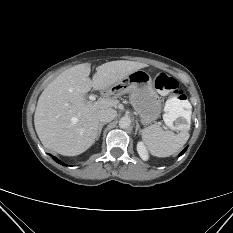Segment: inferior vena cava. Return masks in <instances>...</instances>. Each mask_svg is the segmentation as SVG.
<instances>
[{"label": "inferior vena cava", "mask_w": 233, "mask_h": 233, "mask_svg": "<svg viewBox=\"0 0 233 233\" xmlns=\"http://www.w3.org/2000/svg\"><path fill=\"white\" fill-rule=\"evenodd\" d=\"M117 115L116 110L109 108L101 110L98 114V119L100 122L107 123L112 121Z\"/></svg>", "instance_id": "602c4592"}]
</instances>
